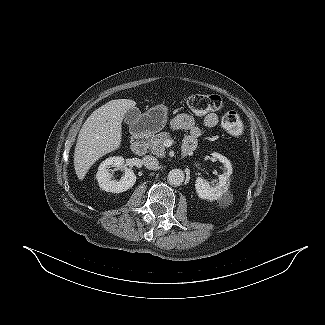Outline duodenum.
Listing matches in <instances>:
<instances>
[{"label": "duodenum", "mask_w": 325, "mask_h": 325, "mask_svg": "<svg viewBox=\"0 0 325 325\" xmlns=\"http://www.w3.org/2000/svg\"><path fill=\"white\" fill-rule=\"evenodd\" d=\"M149 135L148 134H136L133 137L131 149L135 154L142 155L146 152L148 147ZM195 148L191 146H183V155H190Z\"/></svg>", "instance_id": "410a0bca"}]
</instances>
